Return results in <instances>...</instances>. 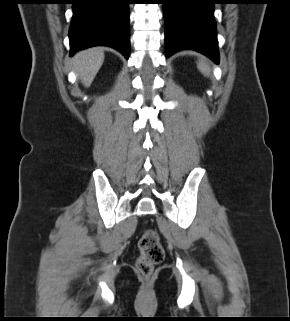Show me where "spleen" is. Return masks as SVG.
<instances>
[{
    "instance_id": "3e777b00",
    "label": "spleen",
    "mask_w": 290,
    "mask_h": 321,
    "mask_svg": "<svg viewBox=\"0 0 290 321\" xmlns=\"http://www.w3.org/2000/svg\"><path fill=\"white\" fill-rule=\"evenodd\" d=\"M198 68L204 75H208L210 72V68L203 61L199 62Z\"/></svg>"
}]
</instances>
